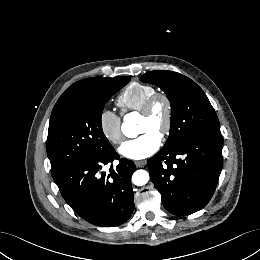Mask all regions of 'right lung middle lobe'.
I'll return each mask as SVG.
<instances>
[{"instance_id": "dd1d6c3e", "label": "right lung middle lobe", "mask_w": 260, "mask_h": 260, "mask_svg": "<svg viewBox=\"0 0 260 260\" xmlns=\"http://www.w3.org/2000/svg\"><path fill=\"white\" fill-rule=\"evenodd\" d=\"M129 81L128 76L110 79L85 99L52 111L47 138L52 176L77 160L98 158L113 150L103 133L101 114L110 97Z\"/></svg>"}]
</instances>
